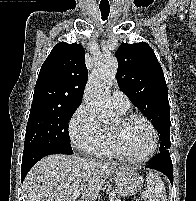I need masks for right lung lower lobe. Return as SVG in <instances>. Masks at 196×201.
Returning a JSON list of instances; mask_svg holds the SVG:
<instances>
[{"label":"right lung lower lobe","mask_w":196,"mask_h":201,"mask_svg":"<svg viewBox=\"0 0 196 201\" xmlns=\"http://www.w3.org/2000/svg\"><path fill=\"white\" fill-rule=\"evenodd\" d=\"M51 154H73L72 151H66L55 147H39L23 153L21 165V179L22 182L32 168V166L41 158Z\"/></svg>","instance_id":"1"}]
</instances>
